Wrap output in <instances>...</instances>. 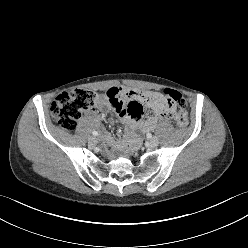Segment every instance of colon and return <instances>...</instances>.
Returning <instances> with one entry per match:
<instances>
[{"instance_id":"colon-1","label":"colon","mask_w":248,"mask_h":248,"mask_svg":"<svg viewBox=\"0 0 248 248\" xmlns=\"http://www.w3.org/2000/svg\"><path fill=\"white\" fill-rule=\"evenodd\" d=\"M164 95L172 109L176 108L174 113L176 124L181 128L186 127L188 116L186 103L182 95L172 89H166ZM99 99L97 93L86 89L63 92L52 102L50 112L60 127L71 132L76 128L77 121L82 113L92 108Z\"/></svg>"}]
</instances>
